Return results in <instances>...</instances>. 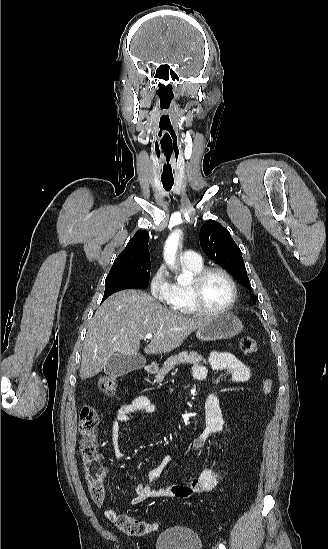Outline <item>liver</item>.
Here are the masks:
<instances>
[{"mask_svg":"<svg viewBox=\"0 0 328 549\" xmlns=\"http://www.w3.org/2000/svg\"><path fill=\"white\" fill-rule=\"evenodd\" d=\"M206 319H190L170 311L144 291H119L97 309L82 349L80 379L101 373L107 359L117 355H137L140 341L152 333L146 355L170 353L200 329ZM160 335V337H158Z\"/></svg>","mask_w":328,"mask_h":549,"instance_id":"6515ba94","label":"liver"}]
</instances>
